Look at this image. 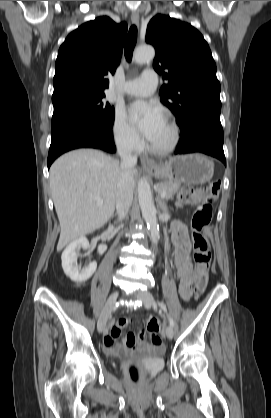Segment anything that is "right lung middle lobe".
Segmentation results:
<instances>
[{
  "label": "right lung middle lobe",
  "mask_w": 271,
  "mask_h": 418,
  "mask_svg": "<svg viewBox=\"0 0 271 418\" xmlns=\"http://www.w3.org/2000/svg\"><path fill=\"white\" fill-rule=\"evenodd\" d=\"M104 93L75 94L53 101L52 129L88 120L114 121V107L103 100Z\"/></svg>",
  "instance_id": "right-lung-middle-lobe-1"
}]
</instances>
